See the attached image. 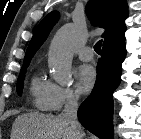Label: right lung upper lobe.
I'll use <instances>...</instances> for the list:
<instances>
[{"instance_id":"cb5924a9","label":"right lung upper lobe","mask_w":141,"mask_h":139,"mask_svg":"<svg viewBox=\"0 0 141 139\" xmlns=\"http://www.w3.org/2000/svg\"><path fill=\"white\" fill-rule=\"evenodd\" d=\"M86 13L92 24L105 29L102 37L103 46L125 36V19L128 16L126 0H89ZM58 20V13H49L36 27L25 54L23 66H28L35 52L48 37L53 25Z\"/></svg>"}]
</instances>
